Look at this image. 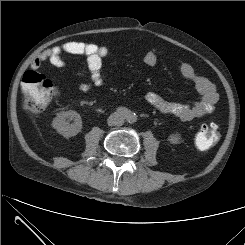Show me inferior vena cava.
<instances>
[{"label": "inferior vena cava", "mask_w": 245, "mask_h": 245, "mask_svg": "<svg viewBox=\"0 0 245 245\" xmlns=\"http://www.w3.org/2000/svg\"><path fill=\"white\" fill-rule=\"evenodd\" d=\"M124 123V117L119 114H112L108 119V125L121 126Z\"/></svg>", "instance_id": "inferior-vena-cava-1"}]
</instances>
